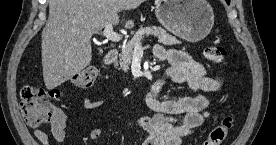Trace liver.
<instances>
[{
    "label": "liver",
    "instance_id": "liver-1",
    "mask_svg": "<svg viewBox=\"0 0 276 145\" xmlns=\"http://www.w3.org/2000/svg\"><path fill=\"white\" fill-rule=\"evenodd\" d=\"M144 0H50L42 31V67L47 89L58 87L87 67L90 39L107 24L119 23L118 13L136 9ZM129 20L125 28H132Z\"/></svg>",
    "mask_w": 276,
    "mask_h": 145
}]
</instances>
